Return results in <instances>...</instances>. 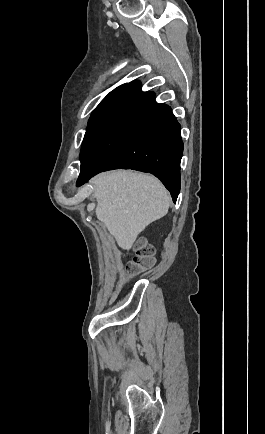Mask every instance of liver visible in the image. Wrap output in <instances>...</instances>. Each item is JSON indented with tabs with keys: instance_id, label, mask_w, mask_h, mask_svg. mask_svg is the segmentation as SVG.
I'll list each match as a JSON object with an SVG mask.
<instances>
[{
	"instance_id": "obj_1",
	"label": "liver",
	"mask_w": 265,
	"mask_h": 434,
	"mask_svg": "<svg viewBox=\"0 0 265 434\" xmlns=\"http://www.w3.org/2000/svg\"><path fill=\"white\" fill-rule=\"evenodd\" d=\"M92 182L95 214L122 250H130L138 234L169 210V192L154 176L118 170L99 174Z\"/></svg>"
}]
</instances>
